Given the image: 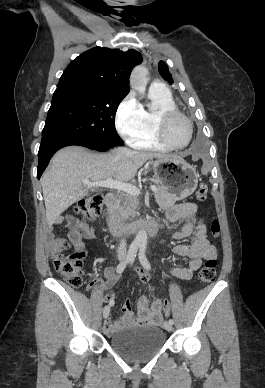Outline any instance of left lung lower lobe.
Masks as SVG:
<instances>
[{"label": "left lung lower lobe", "instance_id": "obj_1", "mask_svg": "<svg viewBox=\"0 0 265 388\" xmlns=\"http://www.w3.org/2000/svg\"><path fill=\"white\" fill-rule=\"evenodd\" d=\"M195 146H196L197 148H200V147H201V141H200V140H197Z\"/></svg>", "mask_w": 265, "mask_h": 388}]
</instances>
